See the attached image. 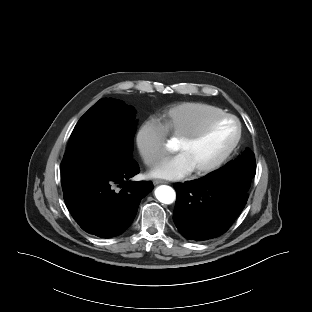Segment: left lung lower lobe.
<instances>
[{
  "instance_id": "1",
  "label": "left lung lower lobe",
  "mask_w": 312,
  "mask_h": 312,
  "mask_svg": "<svg viewBox=\"0 0 312 312\" xmlns=\"http://www.w3.org/2000/svg\"><path fill=\"white\" fill-rule=\"evenodd\" d=\"M173 220L188 240L203 241L226 232L241 213L248 192L225 176L176 183Z\"/></svg>"
}]
</instances>
